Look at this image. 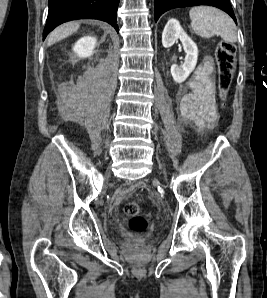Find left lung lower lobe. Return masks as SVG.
<instances>
[{
    "label": "left lung lower lobe",
    "instance_id": "left-lung-lower-lobe-1",
    "mask_svg": "<svg viewBox=\"0 0 267 298\" xmlns=\"http://www.w3.org/2000/svg\"><path fill=\"white\" fill-rule=\"evenodd\" d=\"M196 5H210L217 7L228 13L236 22L229 0H155V21L157 22L158 18L168 10Z\"/></svg>",
    "mask_w": 267,
    "mask_h": 298
}]
</instances>
